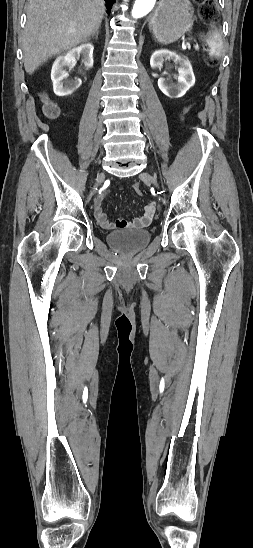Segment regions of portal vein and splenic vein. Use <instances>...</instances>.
<instances>
[{"label": "portal vein and splenic vein", "mask_w": 253, "mask_h": 548, "mask_svg": "<svg viewBox=\"0 0 253 548\" xmlns=\"http://www.w3.org/2000/svg\"><path fill=\"white\" fill-rule=\"evenodd\" d=\"M187 45H189V44H187ZM194 49L199 50L200 46L198 44H196V45H194Z\"/></svg>", "instance_id": "18ae733b"}]
</instances>
